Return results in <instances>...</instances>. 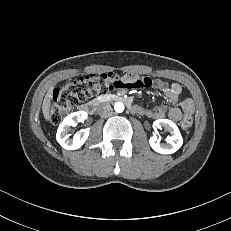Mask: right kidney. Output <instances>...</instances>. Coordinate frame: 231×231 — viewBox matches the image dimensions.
Instances as JSON below:
<instances>
[{
  "mask_svg": "<svg viewBox=\"0 0 231 231\" xmlns=\"http://www.w3.org/2000/svg\"><path fill=\"white\" fill-rule=\"evenodd\" d=\"M86 118V112H74L68 115L59 125L56 139L64 149L76 150L79 149L85 143L89 136V129H81L80 132L75 134L72 139L70 138V134H68V132L70 130V127L73 126L76 123V121L83 122Z\"/></svg>",
  "mask_w": 231,
  "mask_h": 231,
  "instance_id": "right-kidney-1",
  "label": "right kidney"
}]
</instances>
